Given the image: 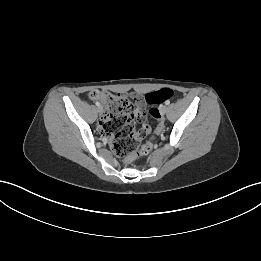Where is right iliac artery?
<instances>
[{
    "label": "right iliac artery",
    "mask_w": 261,
    "mask_h": 261,
    "mask_svg": "<svg viewBox=\"0 0 261 261\" xmlns=\"http://www.w3.org/2000/svg\"><path fill=\"white\" fill-rule=\"evenodd\" d=\"M96 106H98V107H99V106H100V103H99V102H96Z\"/></svg>",
    "instance_id": "right-iliac-artery-1"
}]
</instances>
